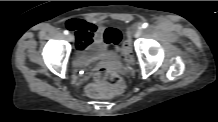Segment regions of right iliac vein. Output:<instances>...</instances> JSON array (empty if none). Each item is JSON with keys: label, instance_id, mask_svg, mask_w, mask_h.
I'll list each match as a JSON object with an SVG mask.
<instances>
[{"label": "right iliac vein", "instance_id": "1", "mask_svg": "<svg viewBox=\"0 0 218 122\" xmlns=\"http://www.w3.org/2000/svg\"><path fill=\"white\" fill-rule=\"evenodd\" d=\"M67 39L72 42L74 40V36L72 34H68Z\"/></svg>", "mask_w": 218, "mask_h": 122}]
</instances>
